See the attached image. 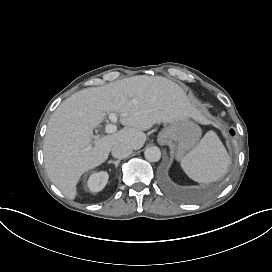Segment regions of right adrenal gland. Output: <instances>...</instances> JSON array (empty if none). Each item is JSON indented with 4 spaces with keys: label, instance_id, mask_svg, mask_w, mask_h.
I'll use <instances>...</instances> for the list:
<instances>
[{
    "label": "right adrenal gland",
    "instance_id": "obj_1",
    "mask_svg": "<svg viewBox=\"0 0 272 272\" xmlns=\"http://www.w3.org/2000/svg\"><path fill=\"white\" fill-rule=\"evenodd\" d=\"M120 162H121V160H117V161H109L108 164H109V165H110V164H113V165H115V168H117Z\"/></svg>",
    "mask_w": 272,
    "mask_h": 272
}]
</instances>
